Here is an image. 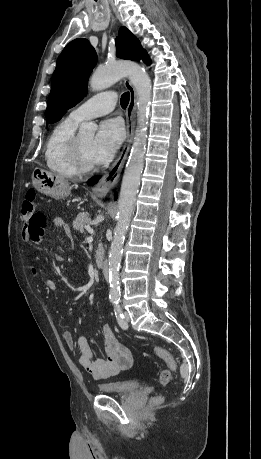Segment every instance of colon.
Masks as SVG:
<instances>
[{
	"label": "colon",
	"instance_id": "5ec220e1",
	"mask_svg": "<svg viewBox=\"0 0 261 459\" xmlns=\"http://www.w3.org/2000/svg\"><path fill=\"white\" fill-rule=\"evenodd\" d=\"M34 191L30 190L23 202L22 212L25 219V224L21 231L27 238H32L34 234H41L47 225V218L43 213L34 211ZM155 354L163 360L169 369L162 370L159 374V382L161 385H168L172 380V370L177 367L176 360L173 355L166 349L157 347Z\"/></svg>",
	"mask_w": 261,
	"mask_h": 459
}]
</instances>
